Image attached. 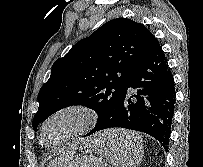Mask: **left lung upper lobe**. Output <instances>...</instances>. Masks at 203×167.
Listing matches in <instances>:
<instances>
[{
    "label": "left lung upper lobe",
    "mask_w": 203,
    "mask_h": 167,
    "mask_svg": "<svg viewBox=\"0 0 203 167\" xmlns=\"http://www.w3.org/2000/svg\"><path fill=\"white\" fill-rule=\"evenodd\" d=\"M156 42L143 24L127 18L108 21L77 42L54 62L49 80L41 87L33 129L71 105L96 111L98 121L93 130L102 126L111 117L131 70Z\"/></svg>",
    "instance_id": "obj_1"
}]
</instances>
